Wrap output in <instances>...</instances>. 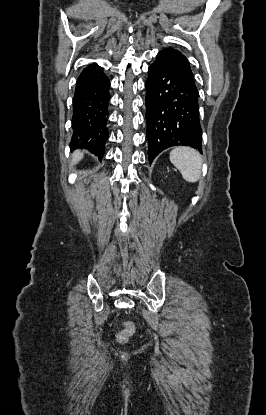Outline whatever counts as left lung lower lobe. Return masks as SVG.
I'll return each mask as SVG.
<instances>
[{"mask_svg": "<svg viewBox=\"0 0 266 415\" xmlns=\"http://www.w3.org/2000/svg\"><path fill=\"white\" fill-rule=\"evenodd\" d=\"M148 74L145 101L149 162L171 146H190L202 152L197 88L160 52Z\"/></svg>", "mask_w": 266, "mask_h": 415, "instance_id": "left-lung-lower-lobe-1", "label": "left lung lower lobe"}]
</instances>
